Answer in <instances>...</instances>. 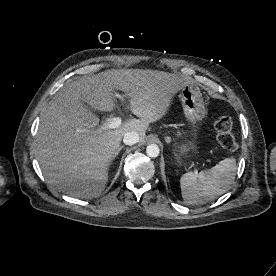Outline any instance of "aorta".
Listing matches in <instances>:
<instances>
[{
	"label": "aorta",
	"mask_w": 276,
	"mask_h": 276,
	"mask_svg": "<svg viewBox=\"0 0 276 276\" xmlns=\"http://www.w3.org/2000/svg\"><path fill=\"white\" fill-rule=\"evenodd\" d=\"M146 153L151 158H156L159 156L160 149L156 144H150L146 148Z\"/></svg>",
	"instance_id": "aorta-1"
}]
</instances>
